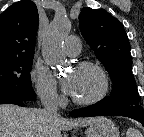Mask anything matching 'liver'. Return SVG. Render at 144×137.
<instances>
[{"instance_id":"liver-1","label":"liver","mask_w":144,"mask_h":137,"mask_svg":"<svg viewBox=\"0 0 144 137\" xmlns=\"http://www.w3.org/2000/svg\"><path fill=\"white\" fill-rule=\"evenodd\" d=\"M99 118L66 119L50 116L44 109L0 105V137H62L61 131L91 125Z\"/></svg>"}]
</instances>
